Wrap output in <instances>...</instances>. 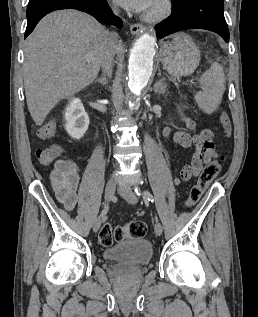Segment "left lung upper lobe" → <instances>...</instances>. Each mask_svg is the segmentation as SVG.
I'll list each match as a JSON object with an SVG mask.
<instances>
[{"label": "left lung upper lobe", "mask_w": 258, "mask_h": 317, "mask_svg": "<svg viewBox=\"0 0 258 317\" xmlns=\"http://www.w3.org/2000/svg\"><path fill=\"white\" fill-rule=\"evenodd\" d=\"M182 1H184V0H172V3L175 4V3H180Z\"/></svg>", "instance_id": "1"}]
</instances>
